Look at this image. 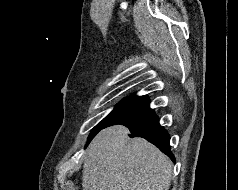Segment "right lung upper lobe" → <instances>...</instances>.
I'll list each match as a JSON object with an SVG mask.
<instances>
[{
	"label": "right lung upper lobe",
	"mask_w": 238,
	"mask_h": 190,
	"mask_svg": "<svg viewBox=\"0 0 238 190\" xmlns=\"http://www.w3.org/2000/svg\"><path fill=\"white\" fill-rule=\"evenodd\" d=\"M128 98H133V99H137V100H141V101H145V102H150L149 98L147 96H136V95H132L131 97Z\"/></svg>",
	"instance_id": "cb5924a9"
}]
</instances>
